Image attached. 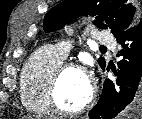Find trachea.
Listing matches in <instances>:
<instances>
[{
	"instance_id": "3493384b",
	"label": "trachea",
	"mask_w": 142,
	"mask_h": 119,
	"mask_svg": "<svg viewBox=\"0 0 142 119\" xmlns=\"http://www.w3.org/2000/svg\"><path fill=\"white\" fill-rule=\"evenodd\" d=\"M100 49H106V47L105 46H101Z\"/></svg>"
}]
</instances>
